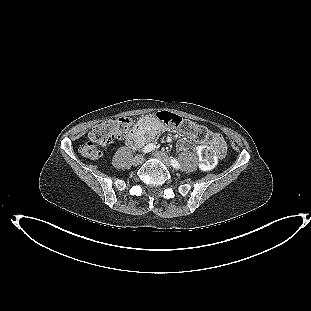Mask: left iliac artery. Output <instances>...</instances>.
<instances>
[{
    "instance_id": "1",
    "label": "left iliac artery",
    "mask_w": 311,
    "mask_h": 311,
    "mask_svg": "<svg viewBox=\"0 0 311 311\" xmlns=\"http://www.w3.org/2000/svg\"><path fill=\"white\" fill-rule=\"evenodd\" d=\"M171 165L175 168V169H179L180 168V164L179 162L175 159V158H171Z\"/></svg>"
}]
</instances>
